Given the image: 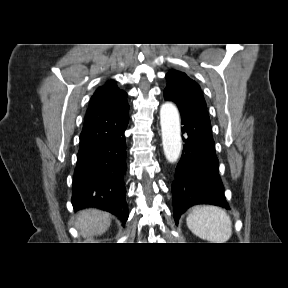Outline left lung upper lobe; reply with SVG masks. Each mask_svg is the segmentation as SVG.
Returning <instances> with one entry per match:
<instances>
[{
    "label": "left lung upper lobe",
    "instance_id": "1",
    "mask_svg": "<svg viewBox=\"0 0 288 288\" xmlns=\"http://www.w3.org/2000/svg\"><path fill=\"white\" fill-rule=\"evenodd\" d=\"M166 78L164 98L174 101L178 107L203 108L207 111L202 91L195 81L177 70H170Z\"/></svg>",
    "mask_w": 288,
    "mask_h": 288
}]
</instances>
